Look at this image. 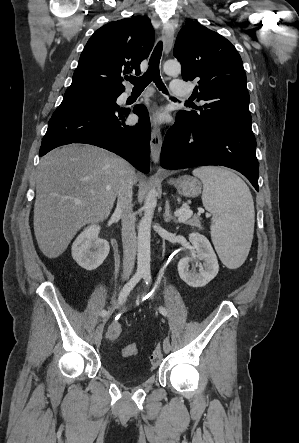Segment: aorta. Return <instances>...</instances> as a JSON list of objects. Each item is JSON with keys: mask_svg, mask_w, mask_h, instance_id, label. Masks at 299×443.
<instances>
[{"mask_svg": "<svg viewBox=\"0 0 299 443\" xmlns=\"http://www.w3.org/2000/svg\"><path fill=\"white\" fill-rule=\"evenodd\" d=\"M163 71L169 76H178L181 73V65L178 61L169 60L163 65ZM157 205V194L150 190L143 205V217L138 227L137 238V272L150 274V240L151 223Z\"/></svg>", "mask_w": 299, "mask_h": 443, "instance_id": "aorta-1", "label": "aorta"}]
</instances>
